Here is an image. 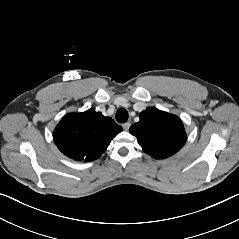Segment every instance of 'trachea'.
Instances as JSON below:
<instances>
[{
	"label": "trachea",
	"mask_w": 239,
	"mask_h": 239,
	"mask_svg": "<svg viewBox=\"0 0 239 239\" xmlns=\"http://www.w3.org/2000/svg\"><path fill=\"white\" fill-rule=\"evenodd\" d=\"M115 117L119 123H125L128 120V112L124 108H119Z\"/></svg>",
	"instance_id": "trachea-1"
}]
</instances>
